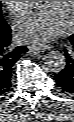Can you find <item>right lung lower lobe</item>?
Instances as JSON below:
<instances>
[{
  "mask_svg": "<svg viewBox=\"0 0 74 122\" xmlns=\"http://www.w3.org/2000/svg\"><path fill=\"white\" fill-rule=\"evenodd\" d=\"M27 51L26 46H11V29L0 20V96L9 90L13 66Z\"/></svg>",
  "mask_w": 74,
  "mask_h": 122,
  "instance_id": "obj_1",
  "label": "right lung lower lobe"
}]
</instances>
